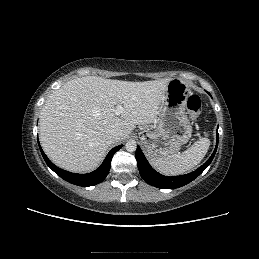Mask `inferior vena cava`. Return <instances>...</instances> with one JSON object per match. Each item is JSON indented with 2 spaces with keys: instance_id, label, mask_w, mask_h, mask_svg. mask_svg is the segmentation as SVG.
I'll use <instances>...</instances> for the list:
<instances>
[{
  "instance_id": "obj_1",
  "label": "inferior vena cava",
  "mask_w": 259,
  "mask_h": 259,
  "mask_svg": "<svg viewBox=\"0 0 259 259\" xmlns=\"http://www.w3.org/2000/svg\"><path fill=\"white\" fill-rule=\"evenodd\" d=\"M107 140L111 143L118 142L121 137V133L115 129H111L107 132Z\"/></svg>"
}]
</instances>
